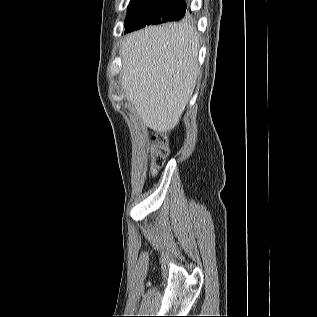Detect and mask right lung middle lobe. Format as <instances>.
Returning a JSON list of instances; mask_svg holds the SVG:
<instances>
[{"label": "right lung middle lobe", "mask_w": 317, "mask_h": 317, "mask_svg": "<svg viewBox=\"0 0 317 317\" xmlns=\"http://www.w3.org/2000/svg\"><path fill=\"white\" fill-rule=\"evenodd\" d=\"M185 13V5L180 0H131L124 34L150 24L178 21Z\"/></svg>", "instance_id": "dd1d6c3e"}]
</instances>
